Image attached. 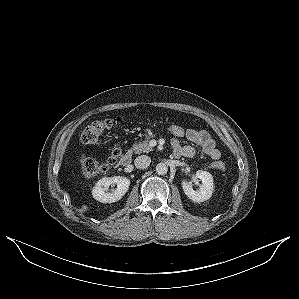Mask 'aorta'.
Wrapping results in <instances>:
<instances>
[{"label": "aorta", "mask_w": 299, "mask_h": 299, "mask_svg": "<svg viewBox=\"0 0 299 299\" xmlns=\"http://www.w3.org/2000/svg\"><path fill=\"white\" fill-rule=\"evenodd\" d=\"M168 172V166L165 163H158L156 165V173L159 175H165Z\"/></svg>", "instance_id": "762f6f07"}]
</instances>
